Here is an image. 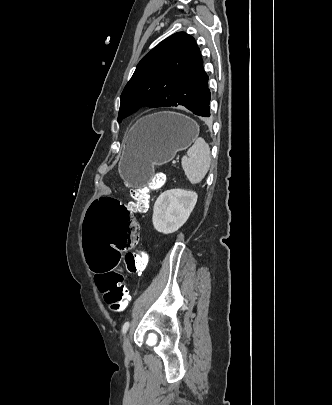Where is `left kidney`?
Instances as JSON below:
<instances>
[{"instance_id":"1","label":"left kidney","mask_w":332,"mask_h":405,"mask_svg":"<svg viewBox=\"0 0 332 405\" xmlns=\"http://www.w3.org/2000/svg\"><path fill=\"white\" fill-rule=\"evenodd\" d=\"M197 194L193 191L172 189L163 192L156 200L152 222L163 234H171L181 228L193 211Z\"/></svg>"}]
</instances>
